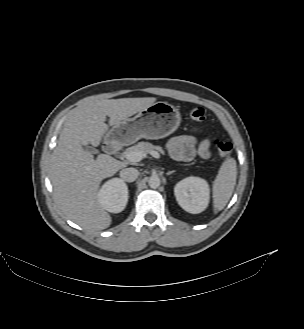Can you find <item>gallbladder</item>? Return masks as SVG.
Segmentation results:
<instances>
[{
  "instance_id": "bac80fb5",
  "label": "gallbladder",
  "mask_w": 304,
  "mask_h": 329,
  "mask_svg": "<svg viewBox=\"0 0 304 329\" xmlns=\"http://www.w3.org/2000/svg\"><path fill=\"white\" fill-rule=\"evenodd\" d=\"M85 151L92 153V154H96L97 153V149L91 147V146H85Z\"/></svg>"
}]
</instances>
